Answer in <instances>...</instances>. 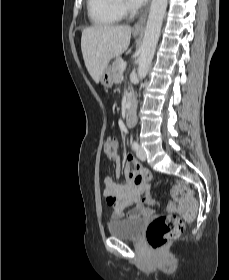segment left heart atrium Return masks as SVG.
<instances>
[{
  "instance_id": "left-heart-atrium-1",
  "label": "left heart atrium",
  "mask_w": 229,
  "mask_h": 280,
  "mask_svg": "<svg viewBox=\"0 0 229 280\" xmlns=\"http://www.w3.org/2000/svg\"><path fill=\"white\" fill-rule=\"evenodd\" d=\"M129 1L133 6L137 7L144 4L147 0H129Z\"/></svg>"
}]
</instances>
